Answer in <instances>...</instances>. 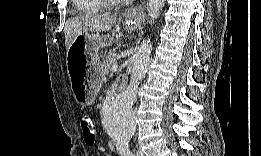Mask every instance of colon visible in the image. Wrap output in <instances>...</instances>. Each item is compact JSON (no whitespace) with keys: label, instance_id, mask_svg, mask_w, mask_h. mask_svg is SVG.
Wrapping results in <instances>:
<instances>
[{"label":"colon","instance_id":"1","mask_svg":"<svg viewBox=\"0 0 261 156\" xmlns=\"http://www.w3.org/2000/svg\"><path fill=\"white\" fill-rule=\"evenodd\" d=\"M80 126L83 132V138L87 145H94L96 141V124L90 114H83L80 118Z\"/></svg>","mask_w":261,"mask_h":156}]
</instances>
